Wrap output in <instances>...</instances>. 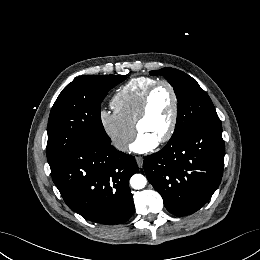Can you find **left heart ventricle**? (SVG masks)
Instances as JSON below:
<instances>
[{
    "label": "left heart ventricle",
    "mask_w": 260,
    "mask_h": 260,
    "mask_svg": "<svg viewBox=\"0 0 260 260\" xmlns=\"http://www.w3.org/2000/svg\"><path fill=\"white\" fill-rule=\"evenodd\" d=\"M173 110L172 95L167 87L158 88L151 97L148 113L139 132L160 140L168 130Z\"/></svg>",
    "instance_id": "b2bd125f"
}]
</instances>
